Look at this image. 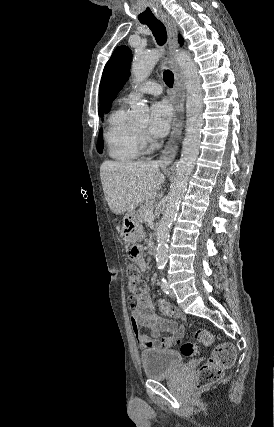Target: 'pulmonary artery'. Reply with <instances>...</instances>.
I'll list each match as a JSON object with an SVG mask.
<instances>
[{"label":"pulmonary artery","mask_w":274,"mask_h":427,"mask_svg":"<svg viewBox=\"0 0 274 427\" xmlns=\"http://www.w3.org/2000/svg\"><path fill=\"white\" fill-rule=\"evenodd\" d=\"M163 92L162 86L155 80L149 79L144 82L138 93L131 92L125 97L127 103H131L137 95L142 94H151V95H160Z\"/></svg>","instance_id":"pulmonary-artery-1"}]
</instances>
